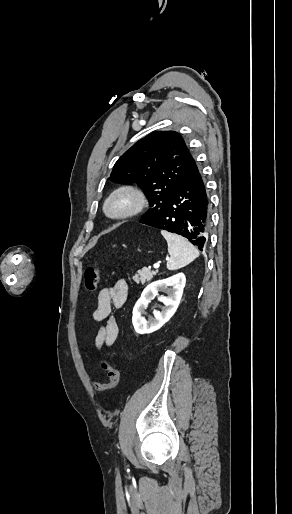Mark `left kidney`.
<instances>
[{"mask_svg":"<svg viewBox=\"0 0 292 514\" xmlns=\"http://www.w3.org/2000/svg\"><path fill=\"white\" fill-rule=\"evenodd\" d=\"M185 284L186 278L184 274H176V276H171V278H167V280H157V282L149 284V286L143 290L141 298H139L133 308L132 324L135 332H137V334H152V332H156V330L162 328V326L172 318L173 314H175L180 304ZM169 286H172V290H170ZM158 292H168V298H165V296H159L158 298L159 302H163L164 308H162V312L154 310V318L145 320V318H143L145 308L150 300L158 296Z\"/></svg>","mask_w":292,"mask_h":514,"instance_id":"obj_1","label":"left kidney"}]
</instances>
